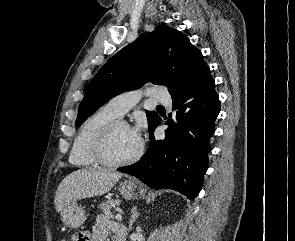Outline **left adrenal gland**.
Returning <instances> with one entry per match:
<instances>
[{"instance_id":"1","label":"left adrenal gland","mask_w":295,"mask_h":241,"mask_svg":"<svg viewBox=\"0 0 295 241\" xmlns=\"http://www.w3.org/2000/svg\"><path fill=\"white\" fill-rule=\"evenodd\" d=\"M131 218H130V222H129V230H132V226H133V223L137 220L138 216H139V212L137 211V206H134L132 209H131Z\"/></svg>"}]
</instances>
